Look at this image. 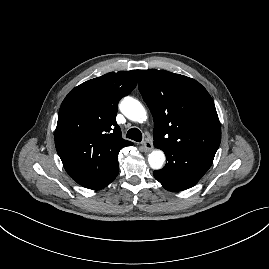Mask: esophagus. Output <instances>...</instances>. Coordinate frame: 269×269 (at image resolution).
<instances>
[{
	"mask_svg": "<svg viewBox=\"0 0 269 269\" xmlns=\"http://www.w3.org/2000/svg\"><path fill=\"white\" fill-rule=\"evenodd\" d=\"M145 151L149 152L153 149V144L149 139H145L142 143Z\"/></svg>",
	"mask_w": 269,
	"mask_h": 269,
	"instance_id": "obj_1",
	"label": "esophagus"
}]
</instances>
